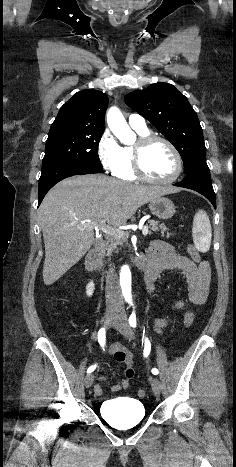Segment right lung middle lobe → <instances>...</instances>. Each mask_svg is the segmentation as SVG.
<instances>
[{"instance_id": "1", "label": "right lung middle lobe", "mask_w": 236, "mask_h": 467, "mask_svg": "<svg viewBox=\"0 0 236 467\" xmlns=\"http://www.w3.org/2000/svg\"><path fill=\"white\" fill-rule=\"evenodd\" d=\"M103 131L50 128L42 168L61 162H75L103 172L98 157V145Z\"/></svg>"}]
</instances>
